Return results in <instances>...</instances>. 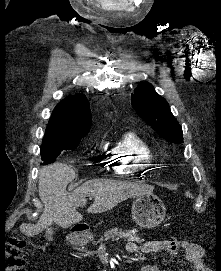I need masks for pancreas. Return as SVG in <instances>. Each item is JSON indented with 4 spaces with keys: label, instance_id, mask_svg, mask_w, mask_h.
<instances>
[{
    "label": "pancreas",
    "instance_id": "obj_1",
    "mask_svg": "<svg viewBox=\"0 0 221 271\" xmlns=\"http://www.w3.org/2000/svg\"><path fill=\"white\" fill-rule=\"evenodd\" d=\"M97 242H146L145 237H128L127 231L115 227L108 229L101 237H96V240H89V245H97Z\"/></svg>",
    "mask_w": 221,
    "mask_h": 271
}]
</instances>
